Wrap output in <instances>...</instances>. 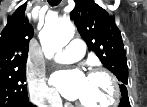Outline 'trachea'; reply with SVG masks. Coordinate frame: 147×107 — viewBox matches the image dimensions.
<instances>
[{"label":"trachea","instance_id":"1","mask_svg":"<svg viewBox=\"0 0 147 107\" xmlns=\"http://www.w3.org/2000/svg\"><path fill=\"white\" fill-rule=\"evenodd\" d=\"M60 2L61 0H48L49 5L52 7L57 6Z\"/></svg>","mask_w":147,"mask_h":107}]
</instances>
